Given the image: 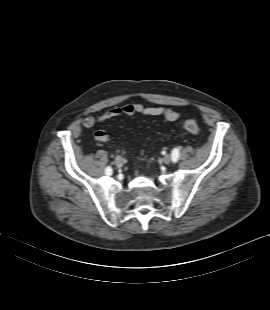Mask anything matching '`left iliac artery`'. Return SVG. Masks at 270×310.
<instances>
[{
  "instance_id": "1",
  "label": "left iliac artery",
  "mask_w": 270,
  "mask_h": 310,
  "mask_svg": "<svg viewBox=\"0 0 270 310\" xmlns=\"http://www.w3.org/2000/svg\"><path fill=\"white\" fill-rule=\"evenodd\" d=\"M171 157H172V161L174 163H176L178 161V159H179V150L178 149H174L172 151Z\"/></svg>"
}]
</instances>
